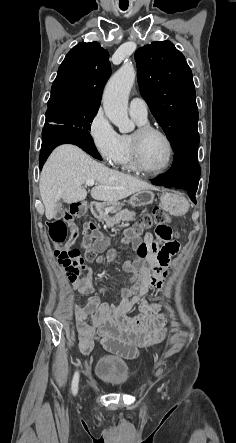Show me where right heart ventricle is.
<instances>
[{
  "label": "right heart ventricle",
  "mask_w": 236,
  "mask_h": 443,
  "mask_svg": "<svg viewBox=\"0 0 236 443\" xmlns=\"http://www.w3.org/2000/svg\"><path fill=\"white\" fill-rule=\"evenodd\" d=\"M134 120L139 124H146V120L145 121H141V120H137L134 118ZM121 142H122V148H123V152H122V157L118 163V165L126 171H135L136 168L133 164V160H132V153H131V135H122L121 136Z\"/></svg>",
  "instance_id": "e07e8e85"
}]
</instances>
